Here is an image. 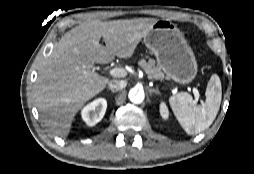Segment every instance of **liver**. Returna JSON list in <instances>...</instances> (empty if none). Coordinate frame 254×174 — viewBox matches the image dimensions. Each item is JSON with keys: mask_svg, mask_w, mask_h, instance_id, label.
<instances>
[{"mask_svg": "<svg viewBox=\"0 0 254 174\" xmlns=\"http://www.w3.org/2000/svg\"><path fill=\"white\" fill-rule=\"evenodd\" d=\"M158 20L137 18L91 21L68 31L43 62L35 87L36 106L44 123L66 137L81 107L110 82L93 70L94 63L130 58ZM103 38L105 45L100 44Z\"/></svg>", "mask_w": 254, "mask_h": 174, "instance_id": "liver-1", "label": "liver"}]
</instances>
